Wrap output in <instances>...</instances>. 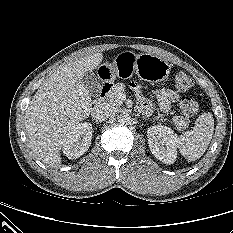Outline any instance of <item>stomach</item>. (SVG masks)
I'll list each match as a JSON object with an SVG mask.
<instances>
[{
  "label": "stomach",
  "mask_w": 233,
  "mask_h": 233,
  "mask_svg": "<svg viewBox=\"0 0 233 233\" xmlns=\"http://www.w3.org/2000/svg\"><path fill=\"white\" fill-rule=\"evenodd\" d=\"M110 71L118 72L127 69L129 74L135 72L140 80L147 82H161L165 80L169 74L171 65L163 58L142 53L135 54L125 51L117 55L113 64L106 65Z\"/></svg>",
  "instance_id": "0dacf381"
}]
</instances>
